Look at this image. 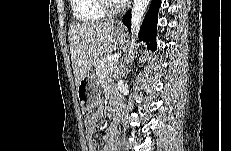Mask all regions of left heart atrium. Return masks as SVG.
I'll return each instance as SVG.
<instances>
[{"mask_svg":"<svg viewBox=\"0 0 231 151\" xmlns=\"http://www.w3.org/2000/svg\"><path fill=\"white\" fill-rule=\"evenodd\" d=\"M117 3H127L128 0H116Z\"/></svg>","mask_w":231,"mask_h":151,"instance_id":"left-heart-atrium-1","label":"left heart atrium"}]
</instances>
